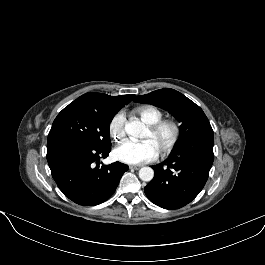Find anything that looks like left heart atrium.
<instances>
[{"label":"left heart atrium","mask_w":265,"mask_h":265,"mask_svg":"<svg viewBox=\"0 0 265 265\" xmlns=\"http://www.w3.org/2000/svg\"><path fill=\"white\" fill-rule=\"evenodd\" d=\"M114 155L121 162L139 164L153 161L158 155V150L149 140L142 142L125 140L115 148Z\"/></svg>","instance_id":"1"}]
</instances>
